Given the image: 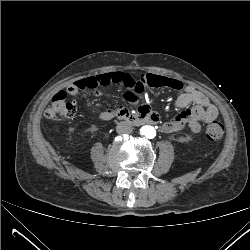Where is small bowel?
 Here are the masks:
<instances>
[{
    "label": "small bowel",
    "instance_id": "obj_1",
    "mask_svg": "<svg viewBox=\"0 0 250 250\" xmlns=\"http://www.w3.org/2000/svg\"><path fill=\"white\" fill-rule=\"evenodd\" d=\"M161 77L166 79L163 86L183 91L175 101L176 106L181 108L182 111L163 124L162 130L165 133L179 131L185 126L197 133L201 130L202 122L210 123L218 117L217 107L211 102L207 95L198 90L195 86L184 84L176 78ZM129 88V98L136 99L141 90H138L134 83H131ZM97 94H99V92H97Z\"/></svg>",
    "mask_w": 250,
    "mask_h": 250
}]
</instances>
